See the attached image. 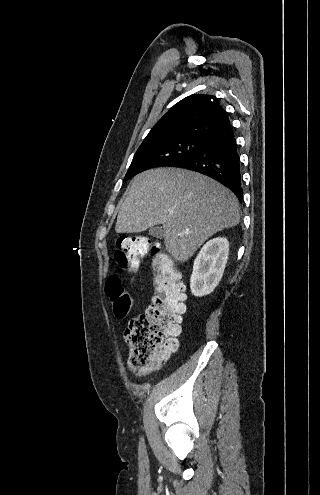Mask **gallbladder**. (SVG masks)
Segmentation results:
<instances>
[{
	"instance_id": "gallbladder-1",
	"label": "gallbladder",
	"mask_w": 320,
	"mask_h": 495,
	"mask_svg": "<svg viewBox=\"0 0 320 495\" xmlns=\"http://www.w3.org/2000/svg\"><path fill=\"white\" fill-rule=\"evenodd\" d=\"M149 235L161 239L164 236V230L162 227L155 226L149 229Z\"/></svg>"
}]
</instances>
